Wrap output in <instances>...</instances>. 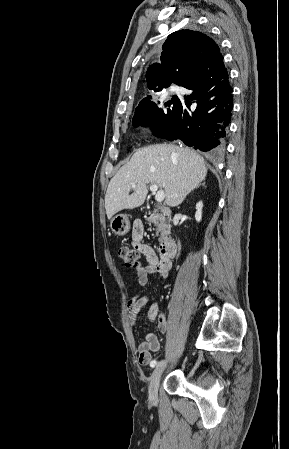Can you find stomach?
Wrapping results in <instances>:
<instances>
[{
    "label": "stomach",
    "mask_w": 289,
    "mask_h": 449,
    "mask_svg": "<svg viewBox=\"0 0 289 449\" xmlns=\"http://www.w3.org/2000/svg\"><path fill=\"white\" fill-rule=\"evenodd\" d=\"M111 230L119 235L123 236L128 233L130 230V222L128 216L125 214H117L115 215L110 222Z\"/></svg>",
    "instance_id": "obj_1"
}]
</instances>
